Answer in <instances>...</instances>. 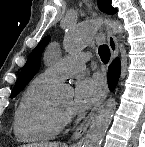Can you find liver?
I'll list each match as a JSON object with an SVG mask.
<instances>
[{"label": "liver", "mask_w": 145, "mask_h": 147, "mask_svg": "<svg viewBox=\"0 0 145 147\" xmlns=\"http://www.w3.org/2000/svg\"><path fill=\"white\" fill-rule=\"evenodd\" d=\"M21 147H59L57 142H41L36 144H26Z\"/></svg>", "instance_id": "liver-1"}]
</instances>
